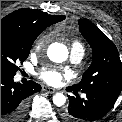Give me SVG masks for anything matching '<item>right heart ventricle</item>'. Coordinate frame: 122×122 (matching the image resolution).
<instances>
[{"label": "right heart ventricle", "mask_w": 122, "mask_h": 122, "mask_svg": "<svg viewBox=\"0 0 122 122\" xmlns=\"http://www.w3.org/2000/svg\"><path fill=\"white\" fill-rule=\"evenodd\" d=\"M73 46L80 47V48L83 49L82 45H81L79 42H75V43L73 44Z\"/></svg>", "instance_id": "e07e8e85"}]
</instances>
